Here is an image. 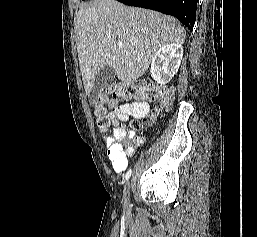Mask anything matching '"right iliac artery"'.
Instances as JSON below:
<instances>
[{
  "label": "right iliac artery",
  "mask_w": 257,
  "mask_h": 237,
  "mask_svg": "<svg viewBox=\"0 0 257 237\" xmlns=\"http://www.w3.org/2000/svg\"><path fill=\"white\" fill-rule=\"evenodd\" d=\"M131 173H132V170L130 169L126 174H125V182L128 181V179L130 178L131 176Z\"/></svg>",
  "instance_id": "82829eb1"
}]
</instances>
